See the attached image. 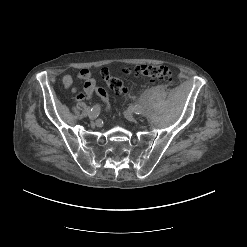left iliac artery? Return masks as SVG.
Listing matches in <instances>:
<instances>
[{"mask_svg":"<svg viewBox=\"0 0 247 247\" xmlns=\"http://www.w3.org/2000/svg\"><path fill=\"white\" fill-rule=\"evenodd\" d=\"M130 112L132 114H141L142 113V107L140 105H132L130 107Z\"/></svg>","mask_w":247,"mask_h":247,"instance_id":"left-iliac-artery-1","label":"left iliac artery"}]
</instances>
